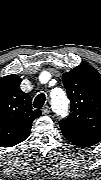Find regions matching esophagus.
I'll return each instance as SVG.
<instances>
[{
	"label": "esophagus",
	"instance_id": "esophagus-1",
	"mask_svg": "<svg viewBox=\"0 0 101 180\" xmlns=\"http://www.w3.org/2000/svg\"><path fill=\"white\" fill-rule=\"evenodd\" d=\"M42 113L44 115H47L50 113V107L48 105H45L42 109H41Z\"/></svg>",
	"mask_w": 101,
	"mask_h": 180
}]
</instances>
